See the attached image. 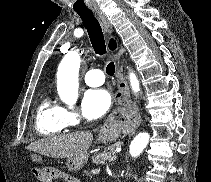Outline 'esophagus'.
Instances as JSON below:
<instances>
[{"mask_svg": "<svg viewBox=\"0 0 211 182\" xmlns=\"http://www.w3.org/2000/svg\"><path fill=\"white\" fill-rule=\"evenodd\" d=\"M93 11H94L95 16L98 18L102 28L104 29V32L107 35H111L113 32L112 25L107 19V17L105 16V14L99 9H93ZM116 79H117V86H118V90L114 96V100L116 104L127 106V107L131 106L132 102L130 100L129 87L118 65L116 69ZM133 107L137 112L136 126H138L140 123L138 108L135 105H133ZM113 118H114L113 113H111L109 117L107 118V120L105 121L102 130L106 131L110 127V125L113 123Z\"/></svg>", "mask_w": 211, "mask_h": 182, "instance_id": "obj_1", "label": "esophagus"}]
</instances>
